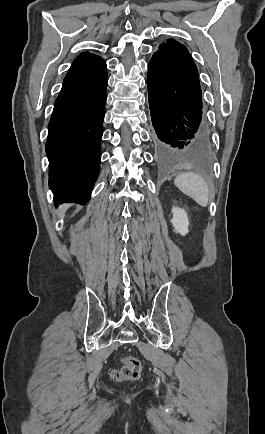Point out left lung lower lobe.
Wrapping results in <instances>:
<instances>
[{
  "mask_svg": "<svg viewBox=\"0 0 265 434\" xmlns=\"http://www.w3.org/2000/svg\"><path fill=\"white\" fill-rule=\"evenodd\" d=\"M151 140L161 154H206L212 148L202 93L163 56L148 65Z\"/></svg>",
  "mask_w": 265,
  "mask_h": 434,
  "instance_id": "left-lung-lower-lobe-1",
  "label": "left lung lower lobe"
}]
</instances>
